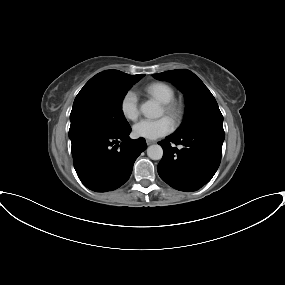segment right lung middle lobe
Instances as JSON below:
<instances>
[{"label": "right lung middle lobe", "mask_w": 285, "mask_h": 285, "mask_svg": "<svg viewBox=\"0 0 285 285\" xmlns=\"http://www.w3.org/2000/svg\"><path fill=\"white\" fill-rule=\"evenodd\" d=\"M143 76L90 79L74 100L69 137L91 128L109 132L129 128L122 111V101L132 85Z\"/></svg>", "instance_id": "1"}]
</instances>
